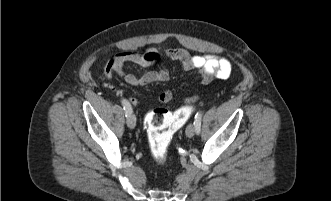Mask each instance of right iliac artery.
Listing matches in <instances>:
<instances>
[{"label":"right iliac artery","instance_id":"obj_1","mask_svg":"<svg viewBox=\"0 0 331 201\" xmlns=\"http://www.w3.org/2000/svg\"><path fill=\"white\" fill-rule=\"evenodd\" d=\"M122 105H123V108L125 110V116L126 117L129 116L132 113L131 104L126 99H123L122 100Z\"/></svg>","mask_w":331,"mask_h":201}]
</instances>
